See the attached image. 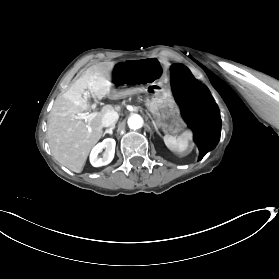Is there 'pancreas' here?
<instances>
[{"label":"pancreas","instance_id":"1","mask_svg":"<svg viewBox=\"0 0 279 279\" xmlns=\"http://www.w3.org/2000/svg\"><path fill=\"white\" fill-rule=\"evenodd\" d=\"M119 92H123V91H117L116 90V94H118ZM115 98H121V96H115Z\"/></svg>","mask_w":279,"mask_h":279}]
</instances>
